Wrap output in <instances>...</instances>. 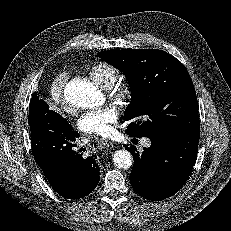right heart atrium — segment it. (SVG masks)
Returning <instances> with one entry per match:
<instances>
[{
	"mask_svg": "<svg viewBox=\"0 0 231 231\" xmlns=\"http://www.w3.org/2000/svg\"><path fill=\"white\" fill-rule=\"evenodd\" d=\"M67 80L68 74L66 72L59 73L53 78L50 86V94L52 99L55 102L62 104L64 107H66V104L64 102L63 92Z\"/></svg>",
	"mask_w": 231,
	"mask_h": 231,
	"instance_id": "d8ad5b80",
	"label": "right heart atrium"
}]
</instances>
